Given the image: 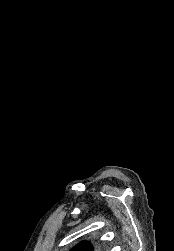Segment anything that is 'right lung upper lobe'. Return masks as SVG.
I'll use <instances>...</instances> for the list:
<instances>
[{"label":"right lung upper lobe","instance_id":"1","mask_svg":"<svg viewBox=\"0 0 174 251\" xmlns=\"http://www.w3.org/2000/svg\"><path fill=\"white\" fill-rule=\"evenodd\" d=\"M71 251H94V247L91 243L83 241Z\"/></svg>","mask_w":174,"mask_h":251}]
</instances>
